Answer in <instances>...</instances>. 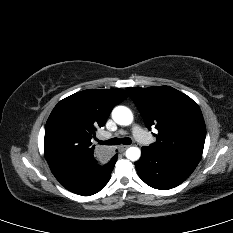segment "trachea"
<instances>
[{
  "mask_svg": "<svg viewBox=\"0 0 233 233\" xmlns=\"http://www.w3.org/2000/svg\"><path fill=\"white\" fill-rule=\"evenodd\" d=\"M99 144H102V145H119L121 143L125 144V145H130L131 144V139L128 138V137H125V138H113V139H110V140H107V141H98Z\"/></svg>",
  "mask_w": 233,
  "mask_h": 233,
  "instance_id": "1",
  "label": "trachea"
}]
</instances>
